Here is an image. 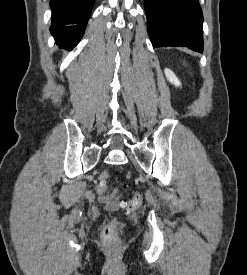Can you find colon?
<instances>
[{
  "mask_svg": "<svg viewBox=\"0 0 247 275\" xmlns=\"http://www.w3.org/2000/svg\"><path fill=\"white\" fill-rule=\"evenodd\" d=\"M110 174L108 172H102L99 176V183L96 187L97 192L105 194L107 192L106 181L109 179ZM143 201L141 193L134 194L130 200L121 201V206L129 211L137 209ZM120 228V222L117 220L109 221L102 229V237L105 242L109 244H115L117 242V232Z\"/></svg>",
  "mask_w": 247,
  "mask_h": 275,
  "instance_id": "obj_1",
  "label": "colon"
}]
</instances>
